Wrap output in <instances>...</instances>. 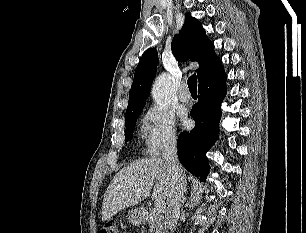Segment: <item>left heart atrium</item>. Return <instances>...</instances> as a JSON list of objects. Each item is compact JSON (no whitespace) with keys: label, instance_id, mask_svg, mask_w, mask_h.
<instances>
[{"label":"left heart atrium","instance_id":"1","mask_svg":"<svg viewBox=\"0 0 306 233\" xmlns=\"http://www.w3.org/2000/svg\"><path fill=\"white\" fill-rule=\"evenodd\" d=\"M182 122H183V125H185V126L188 124V121L185 117L182 118Z\"/></svg>","mask_w":306,"mask_h":233}]
</instances>
